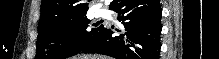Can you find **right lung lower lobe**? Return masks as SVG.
Here are the masks:
<instances>
[{
	"instance_id": "1",
	"label": "right lung lower lobe",
	"mask_w": 219,
	"mask_h": 59,
	"mask_svg": "<svg viewBox=\"0 0 219 59\" xmlns=\"http://www.w3.org/2000/svg\"><path fill=\"white\" fill-rule=\"evenodd\" d=\"M123 29L105 28L81 52L100 53L116 59H159L162 9L159 0H113Z\"/></svg>"
}]
</instances>
